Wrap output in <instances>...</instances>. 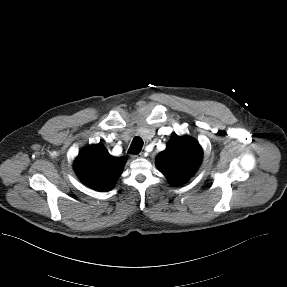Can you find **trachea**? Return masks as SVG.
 I'll list each match as a JSON object with an SVG mask.
<instances>
[{
  "label": "trachea",
  "mask_w": 287,
  "mask_h": 287,
  "mask_svg": "<svg viewBox=\"0 0 287 287\" xmlns=\"http://www.w3.org/2000/svg\"><path fill=\"white\" fill-rule=\"evenodd\" d=\"M142 146H143V141L140 137L136 136L129 149H128V152L131 153V154H139L141 152V149H142Z\"/></svg>",
  "instance_id": "obj_1"
}]
</instances>
